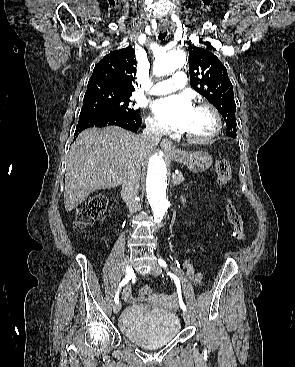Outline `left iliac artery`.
<instances>
[{
  "label": "left iliac artery",
  "mask_w": 295,
  "mask_h": 367,
  "mask_svg": "<svg viewBox=\"0 0 295 367\" xmlns=\"http://www.w3.org/2000/svg\"><path fill=\"white\" fill-rule=\"evenodd\" d=\"M158 263H159V265L160 266H162L163 268H167V263L163 260V259H161V258H159L158 259ZM168 275H170V277L174 280V282H175V285H176V288H177V293H178V298H179V304H180V307H181V309L183 310V311H186V306H185V304H184V302H183V300H182V295H181V285H180V280H179V278L176 276V275H174V274H172V273H170V272H168Z\"/></svg>",
  "instance_id": "obj_1"
}]
</instances>
